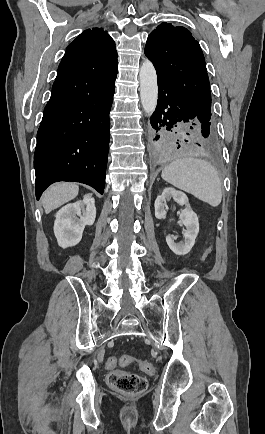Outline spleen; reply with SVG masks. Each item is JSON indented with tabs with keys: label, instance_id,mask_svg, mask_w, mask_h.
<instances>
[{
	"label": "spleen",
	"instance_id": "1",
	"mask_svg": "<svg viewBox=\"0 0 265 434\" xmlns=\"http://www.w3.org/2000/svg\"><path fill=\"white\" fill-rule=\"evenodd\" d=\"M161 176L165 182L193 194L195 198L214 208L221 204L222 188L218 172L206 160H198L192 156L174 160L163 168Z\"/></svg>",
	"mask_w": 265,
	"mask_h": 434
}]
</instances>
